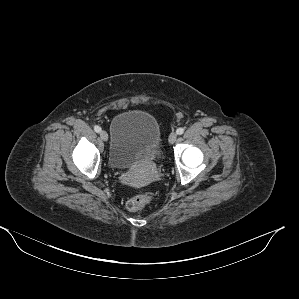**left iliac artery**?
<instances>
[{
	"mask_svg": "<svg viewBox=\"0 0 299 299\" xmlns=\"http://www.w3.org/2000/svg\"><path fill=\"white\" fill-rule=\"evenodd\" d=\"M176 133H177L178 135H181V134L184 133V129H183V128H178V129L176 130Z\"/></svg>",
	"mask_w": 299,
	"mask_h": 299,
	"instance_id": "left-iliac-artery-1",
	"label": "left iliac artery"
}]
</instances>
